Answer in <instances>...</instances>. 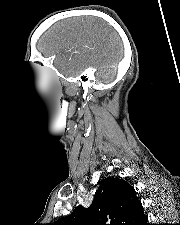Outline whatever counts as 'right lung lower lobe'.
<instances>
[{
	"label": "right lung lower lobe",
	"mask_w": 180,
	"mask_h": 225,
	"mask_svg": "<svg viewBox=\"0 0 180 225\" xmlns=\"http://www.w3.org/2000/svg\"><path fill=\"white\" fill-rule=\"evenodd\" d=\"M141 225H150V224H148V218H146V220H144Z\"/></svg>",
	"instance_id": "1"
}]
</instances>
